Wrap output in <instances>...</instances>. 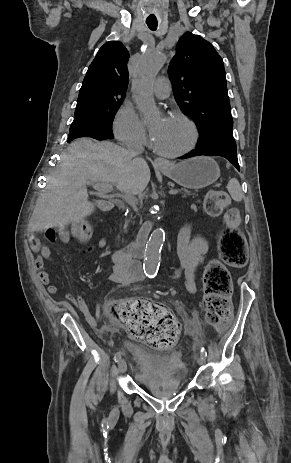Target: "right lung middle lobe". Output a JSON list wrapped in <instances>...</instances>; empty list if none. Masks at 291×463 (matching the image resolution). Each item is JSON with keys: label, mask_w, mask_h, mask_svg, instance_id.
Returning a JSON list of instances; mask_svg holds the SVG:
<instances>
[{"label": "right lung middle lobe", "mask_w": 291, "mask_h": 463, "mask_svg": "<svg viewBox=\"0 0 291 463\" xmlns=\"http://www.w3.org/2000/svg\"><path fill=\"white\" fill-rule=\"evenodd\" d=\"M121 103L122 101L109 102L96 110L75 116L69 130L68 142L80 137L112 139V124Z\"/></svg>", "instance_id": "obj_1"}]
</instances>
